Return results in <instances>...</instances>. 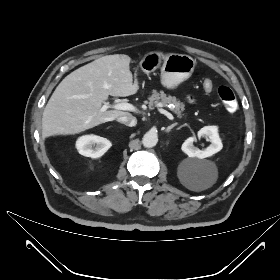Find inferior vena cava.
I'll use <instances>...</instances> for the list:
<instances>
[{"label":"inferior vena cava","mask_w":280,"mask_h":280,"mask_svg":"<svg viewBox=\"0 0 280 280\" xmlns=\"http://www.w3.org/2000/svg\"><path fill=\"white\" fill-rule=\"evenodd\" d=\"M117 121L129 127L136 126L137 124V120L134 116H121L117 118Z\"/></svg>","instance_id":"602c4592"}]
</instances>
